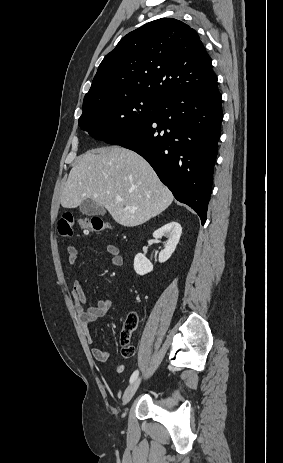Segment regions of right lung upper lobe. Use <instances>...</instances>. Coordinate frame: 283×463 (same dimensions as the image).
Returning a JSON list of instances; mask_svg holds the SVG:
<instances>
[{"instance_id": "right-lung-upper-lobe-1", "label": "right lung upper lobe", "mask_w": 283, "mask_h": 463, "mask_svg": "<svg viewBox=\"0 0 283 463\" xmlns=\"http://www.w3.org/2000/svg\"><path fill=\"white\" fill-rule=\"evenodd\" d=\"M216 80L196 31L182 21L161 18L124 36L105 56L83 105L110 95H141L160 101Z\"/></svg>"}]
</instances>
